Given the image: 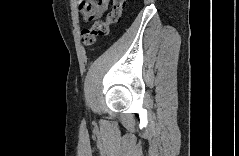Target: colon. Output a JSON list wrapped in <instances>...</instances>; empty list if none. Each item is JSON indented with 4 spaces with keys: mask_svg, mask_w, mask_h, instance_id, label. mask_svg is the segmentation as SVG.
Returning <instances> with one entry per match:
<instances>
[{
    "mask_svg": "<svg viewBox=\"0 0 239 156\" xmlns=\"http://www.w3.org/2000/svg\"><path fill=\"white\" fill-rule=\"evenodd\" d=\"M124 6L123 0H113L106 20L96 22L92 27L82 31L81 41L85 47L93 45L99 36H105L109 32V27L119 21Z\"/></svg>",
    "mask_w": 239,
    "mask_h": 156,
    "instance_id": "obj_1",
    "label": "colon"
}]
</instances>
